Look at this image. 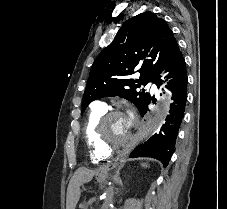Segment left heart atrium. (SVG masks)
Wrapping results in <instances>:
<instances>
[{"instance_id": "obj_1", "label": "left heart atrium", "mask_w": 227, "mask_h": 209, "mask_svg": "<svg viewBox=\"0 0 227 209\" xmlns=\"http://www.w3.org/2000/svg\"><path fill=\"white\" fill-rule=\"evenodd\" d=\"M127 124L130 126L133 121V114L129 112L126 116H124Z\"/></svg>"}]
</instances>
